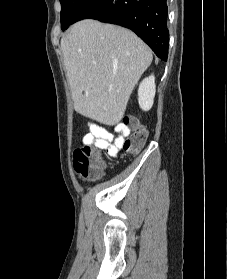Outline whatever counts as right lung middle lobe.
I'll use <instances>...</instances> for the list:
<instances>
[{
    "instance_id": "1",
    "label": "right lung middle lobe",
    "mask_w": 227,
    "mask_h": 279,
    "mask_svg": "<svg viewBox=\"0 0 227 279\" xmlns=\"http://www.w3.org/2000/svg\"><path fill=\"white\" fill-rule=\"evenodd\" d=\"M84 0H60L61 2V28L65 30L70 24Z\"/></svg>"
}]
</instances>
